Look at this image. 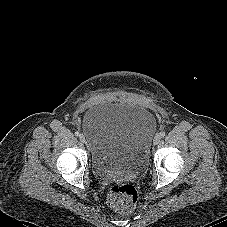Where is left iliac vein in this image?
Listing matches in <instances>:
<instances>
[{
	"label": "left iliac vein",
	"instance_id": "4c4485c4",
	"mask_svg": "<svg viewBox=\"0 0 227 227\" xmlns=\"http://www.w3.org/2000/svg\"><path fill=\"white\" fill-rule=\"evenodd\" d=\"M161 138H162L161 134L157 133V134L155 135V137H154L153 143H154L155 145L159 144L160 141H161Z\"/></svg>",
	"mask_w": 227,
	"mask_h": 227
}]
</instances>
